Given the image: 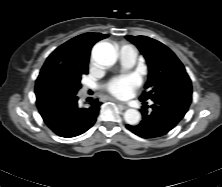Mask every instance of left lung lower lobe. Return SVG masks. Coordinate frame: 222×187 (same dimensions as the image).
<instances>
[{"label":"left lung lower lobe","instance_id":"0a47b994","mask_svg":"<svg viewBox=\"0 0 222 187\" xmlns=\"http://www.w3.org/2000/svg\"><path fill=\"white\" fill-rule=\"evenodd\" d=\"M152 111L141 109L139 125H126L127 129L142 138H156L171 131L188 111L192 101V89L184 88L158 95L153 100Z\"/></svg>","mask_w":222,"mask_h":187}]
</instances>
